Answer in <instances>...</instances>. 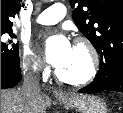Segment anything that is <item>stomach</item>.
<instances>
[{"instance_id": "stomach-1", "label": "stomach", "mask_w": 123, "mask_h": 113, "mask_svg": "<svg viewBox=\"0 0 123 113\" xmlns=\"http://www.w3.org/2000/svg\"><path fill=\"white\" fill-rule=\"evenodd\" d=\"M58 101L70 109L80 113H107L106 103L96 96L91 95H60Z\"/></svg>"}]
</instances>
